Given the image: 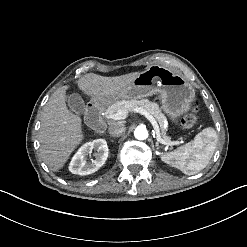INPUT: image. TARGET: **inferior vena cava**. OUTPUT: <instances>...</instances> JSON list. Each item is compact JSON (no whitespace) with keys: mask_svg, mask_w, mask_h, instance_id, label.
Returning a JSON list of instances; mask_svg holds the SVG:
<instances>
[{"mask_svg":"<svg viewBox=\"0 0 247 247\" xmlns=\"http://www.w3.org/2000/svg\"><path fill=\"white\" fill-rule=\"evenodd\" d=\"M108 131L110 135L118 137L126 131V127L122 122H113L109 125Z\"/></svg>","mask_w":247,"mask_h":247,"instance_id":"1","label":"inferior vena cava"}]
</instances>
